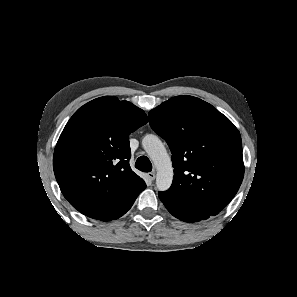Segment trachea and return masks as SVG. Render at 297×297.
Here are the masks:
<instances>
[{"label": "trachea", "instance_id": "1", "mask_svg": "<svg viewBox=\"0 0 297 297\" xmlns=\"http://www.w3.org/2000/svg\"><path fill=\"white\" fill-rule=\"evenodd\" d=\"M135 167L142 172H150L152 170V164L146 156L139 157L136 160Z\"/></svg>", "mask_w": 297, "mask_h": 297}]
</instances>
